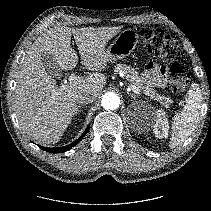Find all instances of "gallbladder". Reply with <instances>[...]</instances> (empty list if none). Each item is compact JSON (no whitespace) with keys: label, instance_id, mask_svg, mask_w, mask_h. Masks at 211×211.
I'll return each mask as SVG.
<instances>
[{"label":"gallbladder","instance_id":"1","mask_svg":"<svg viewBox=\"0 0 211 211\" xmlns=\"http://www.w3.org/2000/svg\"><path fill=\"white\" fill-rule=\"evenodd\" d=\"M42 63L44 65L46 71L50 75L57 77V78L61 77V75H62L61 70L51 55H49L47 53H43L42 54Z\"/></svg>","mask_w":211,"mask_h":211}]
</instances>
